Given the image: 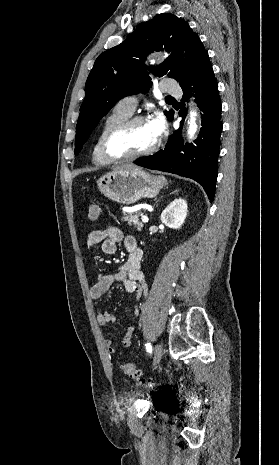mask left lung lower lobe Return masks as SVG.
<instances>
[{
  "mask_svg": "<svg viewBox=\"0 0 279 465\" xmlns=\"http://www.w3.org/2000/svg\"><path fill=\"white\" fill-rule=\"evenodd\" d=\"M183 102L193 92L198 107L202 111V128L194 144L181 140L183 120L180 128L170 136L165 148L152 156L143 157L134 163L152 170L174 173L197 181L206 191L212 202L218 175V156L222 132L221 101L208 53L200 58L193 73L182 83ZM191 93V94H193ZM183 109V108H182ZM186 109L183 111L185 112ZM180 111V115L183 114Z\"/></svg>",
  "mask_w": 279,
  "mask_h": 465,
  "instance_id": "0a47b994",
  "label": "left lung lower lobe"
}]
</instances>
